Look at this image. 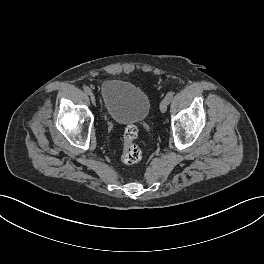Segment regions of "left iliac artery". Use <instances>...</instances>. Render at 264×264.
I'll return each instance as SVG.
<instances>
[{
  "mask_svg": "<svg viewBox=\"0 0 264 264\" xmlns=\"http://www.w3.org/2000/svg\"><path fill=\"white\" fill-rule=\"evenodd\" d=\"M173 95H174L173 92H169V93H167L165 99H166L168 102H170V101L172 100V98H173Z\"/></svg>",
  "mask_w": 264,
  "mask_h": 264,
  "instance_id": "44dca946",
  "label": "left iliac artery"
}]
</instances>
